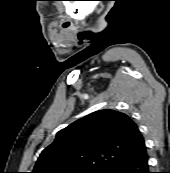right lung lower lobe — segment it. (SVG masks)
Returning <instances> with one entry per match:
<instances>
[{"instance_id": "1", "label": "right lung lower lobe", "mask_w": 170, "mask_h": 173, "mask_svg": "<svg viewBox=\"0 0 170 173\" xmlns=\"http://www.w3.org/2000/svg\"><path fill=\"white\" fill-rule=\"evenodd\" d=\"M103 173H150L146 146L117 160Z\"/></svg>"}]
</instances>
